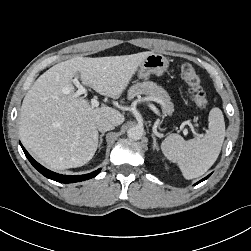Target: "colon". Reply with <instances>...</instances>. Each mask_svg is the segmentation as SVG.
Wrapping results in <instances>:
<instances>
[{
	"label": "colon",
	"instance_id": "colon-1",
	"mask_svg": "<svg viewBox=\"0 0 251 251\" xmlns=\"http://www.w3.org/2000/svg\"><path fill=\"white\" fill-rule=\"evenodd\" d=\"M181 77L188 86V91L193 102L199 108H205L208 105L209 99L194 67L188 63L183 64L181 66Z\"/></svg>",
	"mask_w": 251,
	"mask_h": 251
}]
</instances>
